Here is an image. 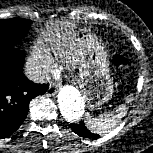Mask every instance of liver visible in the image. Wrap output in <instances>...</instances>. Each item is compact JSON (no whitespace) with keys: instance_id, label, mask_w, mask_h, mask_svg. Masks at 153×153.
I'll list each match as a JSON object with an SVG mask.
<instances>
[{"instance_id":"6515ba94","label":"liver","mask_w":153,"mask_h":153,"mask_svg":"<svg viewBox=\"0 0 153 153\" xmlns=\"http://www.w3.org/2000/svg\"><path fill=\"white\" fill-rule=\"evenodd\" d=\"M76 28L74 23L66 21L52 25L48 32L49 40L56 46L62 61L73 68L80 63L81 56L75 40Z\"/></svg>"}]
</instances>
